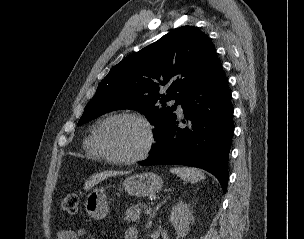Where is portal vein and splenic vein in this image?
Instances as JSON below:
<instances>
[{
  "label": "portal vein and splenic vein",
  "instance_id": "portal-vein-and-splenic-vein-1",
  "mask_svg": "<svg viewBox=\"0 0 304 239\" xmlns=\"http://www.w3.org/2000/svg\"><path fill=\"white\" fill-rule=\"evenodd\" d=\"M151 211H152L151 208H147V209L145 210V214H149Z\"/></svg>",
  "mask_w": 304,
  "mask_h": 239
}]
</instances>
